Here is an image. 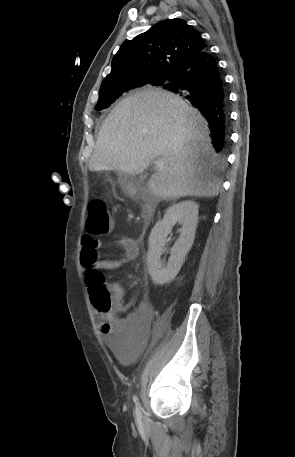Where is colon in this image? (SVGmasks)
<instances>
[{"label": "colon", "instance_id": "5ec220e1", "mask_svg": "<svg viewBox=\"0 0 295 457\" xmlns=\"http://www.w3.org/2000/svg\"><path fill=\"white\" fill-rule=\"evenodd\" d=\"M111 225V217L106 203L101 199L92 200L87 209V230L92 234H104L110 231ZM84 272L91 300L97 310L101 324H105L108 321L113 303L110 290L96 265L88 263Z\"/></svg>", "mask_w": 295, "mask_h": 457}]
</instances>
